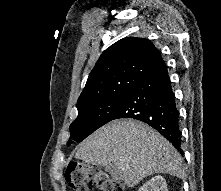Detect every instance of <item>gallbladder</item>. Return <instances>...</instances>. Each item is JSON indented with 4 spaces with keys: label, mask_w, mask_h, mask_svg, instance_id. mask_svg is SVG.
Instances as JSON below:
<instances>
[{
    "label": "gallbladder",
    "mask_w": 221,
    "mask_h": 191,
    "mask_svg": "<svg viewBox=\"0 0 221 191\" xmlns=\"http://www.w3.org/2000/svg\"><path fill=\"white\" fill-rule=\"evenodd\" d=\"M105 170L107 172H109V174H111V176L119 177V173H118L117 169L112 164L105 166Z\"/></svg>",
    "instance_id": "obj_1"
}]
</instances>
